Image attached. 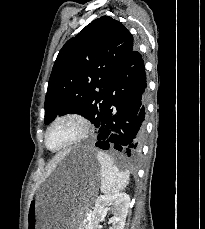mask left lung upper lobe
I'll use <instances>...</instances> for the list:
<instances>
[{
  "instance_id": "obj_1",
  "label": "left lung upper lobe",
  "mask_w": 205,
  "mask_h": 229,
  "mask_svg": "<svg viewBox=\"0 0 205 229\" xmlns=\"http://www.w3.org/2000/svg\"><path fill=\"white\" fill-rule=\"evenodd\" d=\"M133 48L132 34L109 16L92 21L68 40L49 79L44 123L58 115L77 113L98 128L108 90Z\"/></svg>"
}]
</instances>
